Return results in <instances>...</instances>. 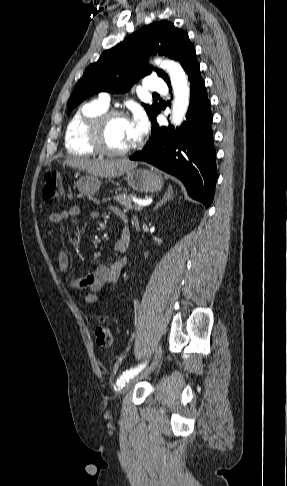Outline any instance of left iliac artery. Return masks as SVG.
Segmentation results:
<instances>
[{"instance_id": "1", "label": "left iliac artery", "mask_w": 287, "mask_h": 486, "mask_svg": "<svg viewBox=\"0 0 287 486\" xmlns=\"http://www.w3.org/2000/svg\"><path fill=\"white\" fill-rule=\"evenodd\" d=\"M145 365L146 364L138 365L137 367L131 368L123 372V374L117 381V385L119 386V388H122L130 378H133L135 375H137L145 367Z\"/></svg>"}]
</instances>
